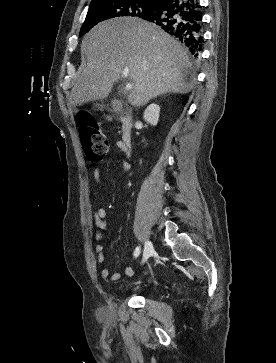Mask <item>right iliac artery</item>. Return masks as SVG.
I'll return each instance as SVG.
<instances>
[{
  "instance_id": "82829eb1",
  "label": "right iliac artery",
  "mask_w": 276,
  "mask_h": 363,
  "mask_svg": "<svg viewBox=\"0 0 276 363\" xmlns=\"http://www.w3.org/2000/svg\"><path fill=\"white\" fill-rule=\"evenodd\" d=\"M139 254H140V247H137V248L135 249V251H134V256H135V257H138V256H139Z\"/></svg>"
}]
</instances>
